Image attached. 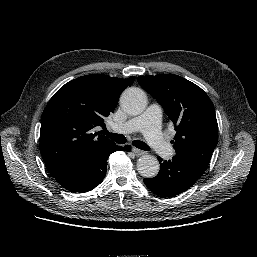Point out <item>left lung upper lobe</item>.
<instances>
[{
    "label": "left lung upper lobe",
    "mask_w": 257,
    "mask_h": 257,
    "mask_svg": "<svg viewBox=\"0 0 257 257\" xmlns=\"http://www.w3.org/2000/svg\"><path fill=\"white\" fill-rule=\"evenodd\" d=\"M138 82L164 108L177 131L176 155L207 168L218 142V125L212 101L194 83L174 74L139 76Z\"/></svg>",
    "instance_id": "left-lung-upper-lobe-1"
}]
</instances>
